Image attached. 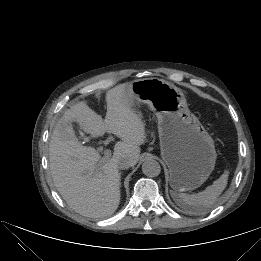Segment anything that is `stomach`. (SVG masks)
Wrapping results in <instances>:
<instances>
[{
    "label": "stomach",
    "mask_w": 261,
    "mask_h": 261,
    "mask_svg": "<svg viewBox=\"0 0 261 261\" xmlns=\"http://www.w3.org/2000/svg\"><path fill=\"white\" fill-rule=\"evenodd\" d=\"M125 94L131 105L147 104L156 115L161 157L174 192L200 187L214 170L217 154L182 91L163 79L145 78L133 81Z\"/></svg>",
    "instance_id": "1"
}]
</instances>
